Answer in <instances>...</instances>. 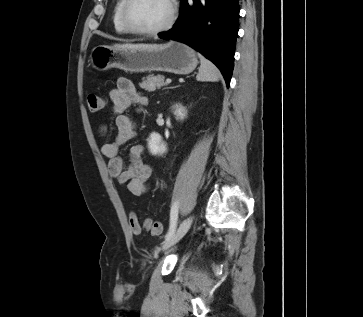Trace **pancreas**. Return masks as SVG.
Segmentation results:
<instances>
[{
    "mask_svg": "<svg viewBox=\"0 0 363 317\" xmlns=\"http://www.w3.org/2000/svg\"><path fill=\"white\" fill-rule=\"evenodd\" d=\"M164 79L165 78L162 75H149L146 78H143V81L139 84V86L142 89L152 92L166 85Z\"/></svg>",
    "mask_w": 363,
    "mask_h": 317,
    "instance_id": "pancreas-1",
    "label": "pancreas"
}]
</instances>
